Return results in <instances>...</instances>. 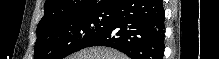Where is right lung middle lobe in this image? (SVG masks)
<instances>
[{"mask_svg": "<svg viewBox=\"0 0 219 59\" xmlns=\"http://www.w3.org/2000/svg\"><path fill=\"white\" fill-rule=\"evenodd\" d=\"M112 11L56 19L37 27L35 59H62L85 47L110 25Z\"/></svg>", "mask_w": 219, "mask_h": 59, "instance_id": "obj_1", "label": "right lung middle lobe"}]
</instances>
